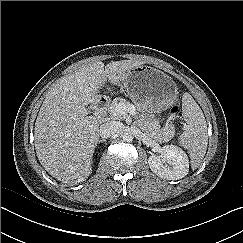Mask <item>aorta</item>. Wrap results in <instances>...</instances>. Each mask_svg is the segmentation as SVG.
Listing matches in <instances>:
<instances>
[{"instance_id":"1","label":"aorta","mask_w":243,"mask_h":243,"mask_svg":"<svg viewBox=\"0 0 243 243\" xmlns=\"http://www.w3.org/2000/svg\"><path fill=\"white\" fill-rule=\"evenodd\" d=\"M122 138H123V141H125V142H132L134 136H133L132 132L127 131V132H124Z\"/></svg>"}]
</instances>
